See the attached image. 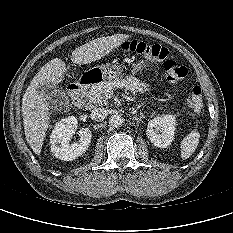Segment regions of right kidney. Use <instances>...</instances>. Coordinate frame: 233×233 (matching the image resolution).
Instances as JSON below:
<instances>
[{"label":"right kidney","mask_w":233,"mask_h":233,"mask_svg":"<svg viewBox=\"0 0 233 233\" xmlns=\"http://www.w3.org/2000/svg\"><path fill=\"white\" fill-rule=\"evenodd\" d=\"M78 121L74 116L61 119L56 123L51 137V152L60 160L73 161L81 156L89 147L92 133L89 128L79 130L80 137L78 142L70 144V139L75 134Z\"/></svg>","instance_id":"1"}]
</instances>
